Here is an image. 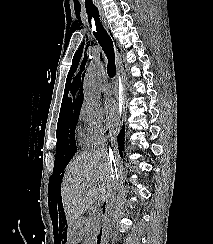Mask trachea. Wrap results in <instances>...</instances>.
Returning <instances> with one entry per match:
<instances>
[{"instance_id":"trachea-1","label":"trachea","mask_w":213,"mask_h":244,"mask_svg":"<svg viewBox=\"0 0 213 244\" xmlns=\"http://www.w3.org/2000/svg\"><path fill=\"white\" fill-rule=\"evenodd\" d=\"M87 15H88L89 24L92 25L93 23L94 26L93 34L95 38L98 40L99 44L101 45L108 59L107 73L109 77L113 78L116 72L113 41L100 21L99 11L97 7L88 8Z\"/></svg>"}]
</instances>
